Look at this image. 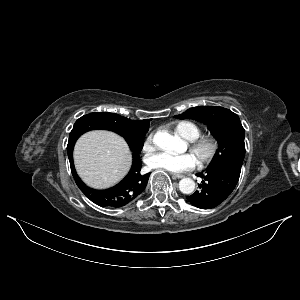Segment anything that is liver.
Wrapping results in <instances>:
<instances>
[{"mask_svg": "<svg viewBox=\"0 0 300 300\" xmlns=\"http://www.w3.org/2000/svg\"><path fill=\"white\" fill-rule=\"evenodd\" d=\"M74 162L81 179L104 189L118 183L130 169L132 156L125 140L109 131H90L74 148Z\"/></svg>", "mask_w": 300, "mask_h": 300, "instance_id": "liver-1", "label": "liver"}]
</instances>
